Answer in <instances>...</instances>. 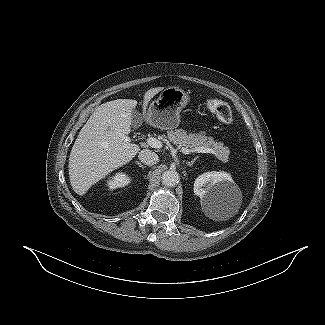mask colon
I'll return each instance as SVG.
<instances>
[{
    "label": "colon",
    "mask_w": 325,
    "mask_h": 325,
    "mask_svg": "<svg viewBox=\"0 0 325 325\" xmlns=\"http://www.w3.org/2000/svg\"><path fill=\"white\" fill-rule=\"evenodd\" d=\"M207 107L222 123L230 124L232 122V110L227 103L218 99H209L207 101Z\"/></svg>",
    "instance_id": "obj_1"
}]
</instances>
